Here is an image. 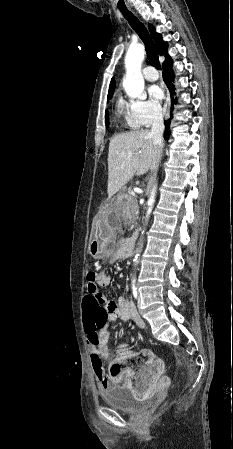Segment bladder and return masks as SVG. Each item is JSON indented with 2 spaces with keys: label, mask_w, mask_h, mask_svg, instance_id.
Listing matches in <instances>:
<instances>
[{
  "label": "bladder",
  "mask_w": 233,
  "mask_h": 449,
  "mask_svg": "<svg viewBox=\"0 0 233 449\" xmlns=\"http://www.w3.org/2000/svg\"><path fill=\"white\" fill-rule=\"evenodd\" d=\"M102 397L111 408L128 413L146 409L150 403L148 400L135 399L130 389L121 386L105 389Z\"/></svg>",
  "instance_id": "1"
}]
</instances>
